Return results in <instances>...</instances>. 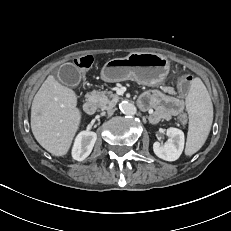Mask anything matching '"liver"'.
Wrapping results in <instances>:
<instances>
[{"label":"liver","instance_id":"6515ba94","mask_svg":"<svg viewBox=\"0 0 231 231\" xmlns=\"http://www.w3.org/2000/svg\"><path fill=\"white\" fill-rule=\"evenodd\" d=\"M81 122L75 92L49 75L31 107V129L37 142L55 156L65 155Z\"/></svg>","mask_w":231,"mask_h":231}]
</instances>
